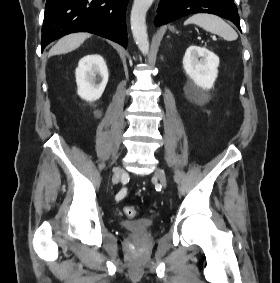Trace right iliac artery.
<instances>
[{
  "instance_id": "obj_1",
  "label": "right iliac artery",
  "mask_w": 280,
  "mask_h": 283,
  "mask_svg": "<svg viewBox=\"0 0 280 283\" xmlns=\"http://www.w3.org/2000/svg\"><path fill=\"white\" fill-rule=\"evenodd\" d=\"M122 195H118V198H120Z\"/></svg>"
}]
</instances>
